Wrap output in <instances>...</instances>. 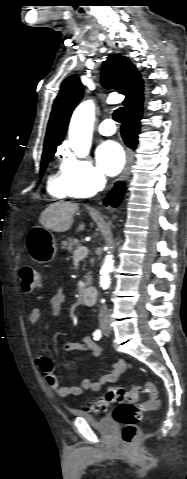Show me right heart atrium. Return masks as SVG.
<instances>
[{
    "label": "right heart atrium",
    "instance_id": "1",
    "mask_svg": "<svg viewBox=\"0 0 187 479\" xmlns=\"http://www.w3.org/2000/svg\"><path fill=\"white\" fill-rule=\"evenodd\" d=\"M61 175L72 197L85 198L97 194L105 185L103 172L89 160L66 155Z\"/></svg>",
    "mask_w": 187,
    "mask_h": 479
}]
</instances>
